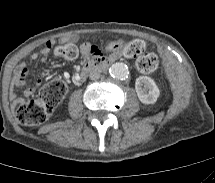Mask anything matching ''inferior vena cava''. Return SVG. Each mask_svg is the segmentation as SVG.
I'll list each match as a JSON object with an SVG mask.
<instances>
[{"label": "inferior vena cava", "mask_w": 215, "mask_h": 183, "mask_svg": "<svg viewBox=\"0 0 215 183\" xmlns=\"http://www.w3.org/2000/svg\"><path fill=\"white\" fill-rule=\"evenodd\" d=\"M89 77H90L91 80H97L100 77V73L98 71H96V70L91 71L90 74H89Z\"/></svg>", "instance_id": "602c4592"}]
</instances>
